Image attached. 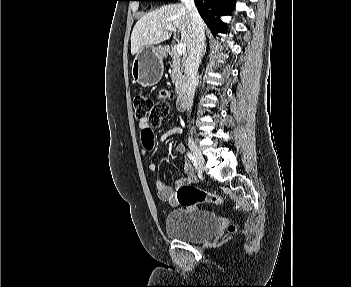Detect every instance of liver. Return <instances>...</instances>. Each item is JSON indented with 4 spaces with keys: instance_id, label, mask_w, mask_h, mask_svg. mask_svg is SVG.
Listing matches in <instances>:
<instances>
[{
    "instance_id": "1",
    "label": "liver",
    "mask_w": 351,
    "mask_h": 287,
    "mask_svg": "<svg viewBox=\"0 0 351 287\" xmlns=\"http://www.w3.org/2000/svg\"><path fill=\"white\" fill-rule=\"evenodd\" d=\"M167 26L179 30L188 52L193 34L191 18L185 5L176 3L148 12L137 21L131 34V54H137L143 46L157 45L170 39L172 33L166 29Z\"/></svg>"
}]
</instances>
